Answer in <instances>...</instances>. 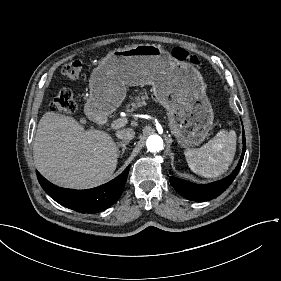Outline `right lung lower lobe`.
<instances>
[{
	"label": "right lung lower lobe",
	"instance_id": "98d812e1",
	"mask_svg": "<svg viewBox=\"0 0 281 281\" xmlns=\"http://www.w3.org/2000/svg\"><path fill=\"white\" fill-rule=\"evenodd\" d=\"M128 166L118 177L96 188L88 190H72L59 188L39 172L37 178L45 192L59 204L81 213H96L113 205L121 196L128 176Z\"/></svg>",
	"mask_w": 281,
	"mask_h": 281
}]
</instances>
